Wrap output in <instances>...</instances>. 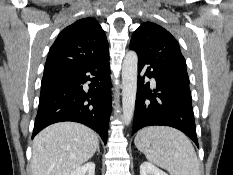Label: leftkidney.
Segmentation results:
<instances>
[{
  "instance_id": "5707ae66",
  "label": "left kidney",
  "mask_w": 233,
  "mask_h": 175,
  "mask_svg": "<svg viewBox=\"0 0 233 175\" xmlns=\"http://www.w3.org/2000/svg\"><path fill=\"white\" fill-rule=\"evenodd\" d=\"M140 175H168L150 162H143L140 166Z\"/></svg>"
}]
</instances>
